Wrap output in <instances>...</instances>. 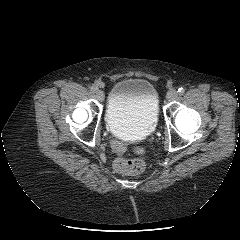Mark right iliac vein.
<instances>
[{"label":"right iliac vein","instance_id":"63e3f726","mask_svg":"<svg viewBox=\"0 0 240 240\" xmlns=\"http://www.w3.org/2000/svg\"><path fill=\"white\" fill-rule=\"evenodd\" d=\"M96 97L99 101H103L104 100V97H105V94L102 90H96Z\"/></svg>","mask_w":240,"mask_h":240}]
</instances>
